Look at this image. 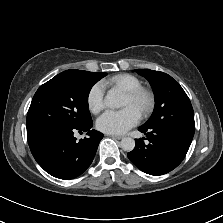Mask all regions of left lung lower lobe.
I'll use <instances>...</instances> for the list:
<instances>
[{
	"mask_svg": "<svg viewBox=\"0 0 223 223\" xmlns=\"http://www.w3.org/2000/svg\"><path fill=\"white\" fill-rule=\"evenodd\" d=\"M145 138L136 139L135 148L127 154L140 170L151 175H162L176 168L184 159L194 132L174 127H139Z\"/></svg>",
	"mask_w": 223,
	"mask_h": 223,
	"instance_id": "left-lung-lower-lobe-1",
	"label": "left lung lower lobe"
}]
</instances>
